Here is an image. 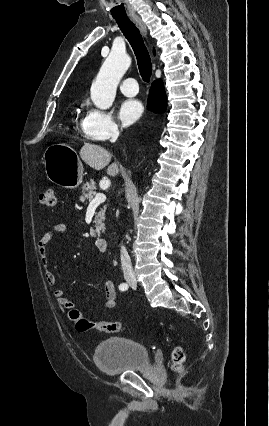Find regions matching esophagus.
<instances>
[{
    "mask_svg": "<svg viewBox=\"0 0 269 426\" xmlns=\"http://www.w3.org/2000/svg\"><path fill=\"white\" fill-rule=\"evenodd\" d=\"M131 19L135 23V25L139 28L142 35L147 38L146 27L144 23L142 22V20L138 16H132Z\"/></svg>",
    "mask_w": 269,
    "mask_h": 426,
    "instance_id": "34e87169",
    "label": "esophagus"
}]
</instances>
